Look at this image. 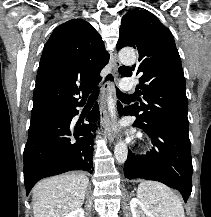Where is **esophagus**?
<instances>
[{"label":"esophagus","mask_w":211,"mask_h":217,"mask_svg":"<svg viewBox=\"0 0 211 217\" xmlns=\"http://www.w3.org/2000/svg\"><path fill=\"white\" fill-rule=\"evenodd\" d=\"M111 62L113 64V75L116 79L118 76V69L121 66V63L118 59L116 52L112 53ZM112 88H113V82L108 81L106 85L103 87L102 94H101V102H100L101 123H102L104 134L110 143L114 142L115 134L113 133L111 121H110V118L106 110V98H107L108 92Z\"/></svg>","instance_id":"1"}]
</instances>
